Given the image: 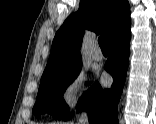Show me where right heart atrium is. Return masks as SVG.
Returning a JSON list of instances; mask_svg holds the SVG:
<instances>
[{
    "instance_id": "obj_1",
    "label": "right heart atrium",
    "mask_w": 156,
    "mask_h": 124,
    "mask_svg": "<svg viewBox=\"0 0 156 124\" xmlns=\"http://www.w3.org/2000/svg\"><path fill=\"white\" fill-rule=\"evenodd\" d=\"M88 95L87 75L83 70H78L65 83L61 91V101L65 108L74 109L83 104Z\"/></svg>"
}]
</instances>
